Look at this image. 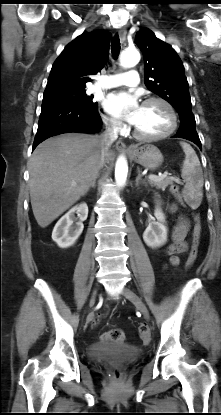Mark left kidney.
<instances>
[{
    "instance_id": "5707ae66",
    "label": "left kidney",
    "mask_w": 221,
    "mask_h": 415,
    "mask_svg": "<svg viewBox=\"0 0 221 415\" xmlns=\"http://www.w3.org/2000/svg\"><path fill=\"white\" fill-rule=\"evenodd\" d=\"M154 216L157 221L149 223L143 233V240L151 248H159L167 241V227L165 226V216L160 208H156Z\"/></svg>"
}]
</instances>
